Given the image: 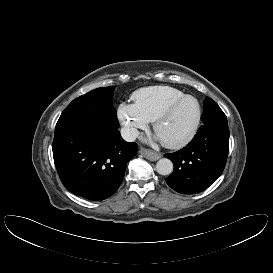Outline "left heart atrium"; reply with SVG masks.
<instances>
[{
	"instance_id": "39dd6f15",
	"label": "left heart atrium",
	"mask_w": 273,
	"mask_h": 273,
	"mask_svg": "<svg viewBox=\"0 0 273 273\" xmlns=\"http://www.w3.org/2000/svg\"><path fill=\"white\" fill-rule=\"evenodd\" d=\"M155 139H160L158 136H155Z\"/></svg>"
}]
</instances>
